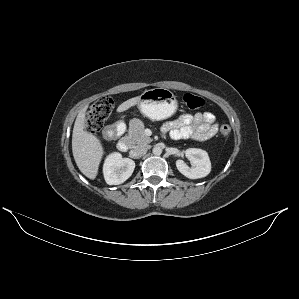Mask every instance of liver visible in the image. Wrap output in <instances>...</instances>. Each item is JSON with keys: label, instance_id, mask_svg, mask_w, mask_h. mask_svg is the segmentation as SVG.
I'll return each instance as SVG.
<instances>
[{"label": "liver", "instance_id": "1", "mask_svg": "<svg viewBox=\"0 0 299 299\" xmlns=\"http://www.w3.org/2000/svg\"><path fill=\"white\" fill-rule=\"evenodd\" d=\"M140 96L131 98L121 105L117 111L123 112L136 105ZM85 106L77 115L72 134V152L79 170L89 179H95L104 150L99 138L85 131Z\"/></svg>", "mask_w": 299, "mask_h": 299}]
</instances>
